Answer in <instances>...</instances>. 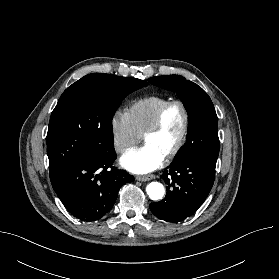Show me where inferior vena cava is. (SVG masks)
Wrapping results in <instances>:
<instances>
[{"mask_svg":"<svg viewBox=\"0 0 279 279\" xmlns=\"http://www.w3.org/2000/svg\"><path fill=\"white\" fill-rule=\"evenodd\" d=\"M124 149H125V146H120V147H119V150H120V151H123Z\"/></svg>","mask_w":279,"mask_h":279,"instance_id":"602c4592","label":"inferior vena cava"}]
</instances>
